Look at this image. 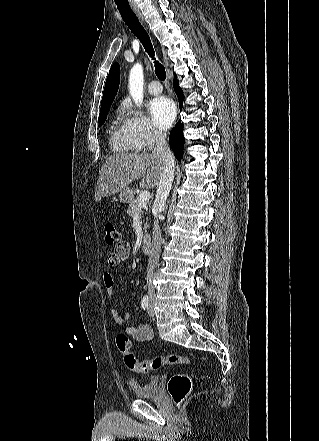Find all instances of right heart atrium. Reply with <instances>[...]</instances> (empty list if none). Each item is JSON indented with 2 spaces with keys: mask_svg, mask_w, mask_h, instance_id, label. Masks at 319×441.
I'll return each mask as SVG.
<instances>
[{
  "mask_svg": "<svg viewBox=\"0 0 319 441\" xmlns=\"http://www.w3.org/2000/svg\"><path fill=\"white\" fill-rule=\"evenodd\" d=\"M126 134L134 150L146 151L165 139V133L141 111L124 106Z\"/></svg>",
  "mask_w": 319,
  "mask_h": 441,
  "instance_id": "1",
  "label": "right heart atrium"
}]
</instances>
